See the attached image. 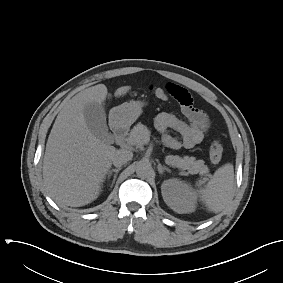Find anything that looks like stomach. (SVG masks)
<instances>
[{
    "label": "stomach",
    "instance_id": "stomach-1",
    "mask_svg": "<svg viewBox=\"0 0 283 283\" xmlns=\"http://www.w3.org/2000/svg\"><path fill=\"white\" fill-rule=\"evenodd\" d=\"M144 101H130L116 107L112 111V117L117 124L129 126L142 114Z\"/></svg>",
    "mask_w": 283,
    "mask_h": 283
}]
</instances>
